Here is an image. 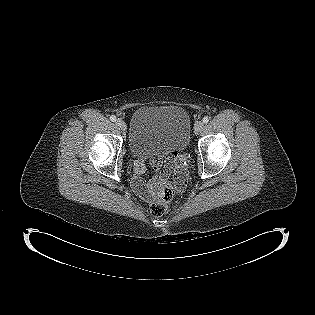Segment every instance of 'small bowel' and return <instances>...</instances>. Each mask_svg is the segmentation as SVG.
I'll return each mask as SVG.
<instances>
[{"label":"small bowel","instance_id":"obj_1","mask_svg":"<svg viewBox=\"0 0 315 315\" xmlns=\"http://www.w3.org/2000/svg\"><path fill=\"white\" fill-rule=\"evenodd\" d=\"M151 163L157 174L149 182H146L142 177L146 172L145 165L141 161H136L134 164L135 177L132 185L136 194L146 200L157 194L161 185L169 177V169L178 161L175 157H171L166 166H163L160 159L155 157Z\"/></svg>","mask_w":315,"mask_h":315}]
</instances>
